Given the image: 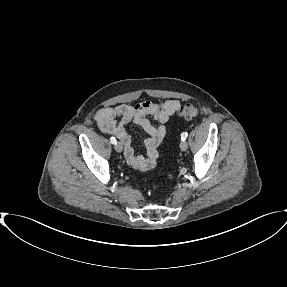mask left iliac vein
<instances>
[{"instance_id":"left-iliac-vein-1","label":"left iliac vein","mask_w":287,"mask_h":287,"mask_svg":"<svg viewBox=\"0 0 287 287\" xmlns=\"http://www.w3.org/2000/svg\"><path fill=\"white\" fill-rule=\"evenodd\" d=\"M187 148H188L187 142H186V141H181V143H180V149H181L182 151H186Z\"/></svg>"}]
</instances>
